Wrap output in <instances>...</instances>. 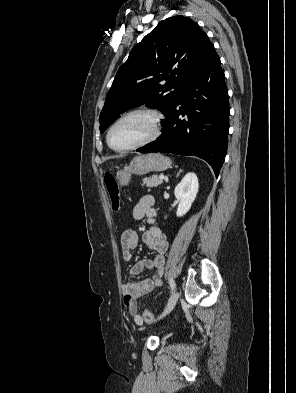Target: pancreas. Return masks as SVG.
I'll return each instance as SVG.
<instances>
[{"mask_svg": "<svg viewBox=\"0 0 296 393\" xmlns=\"http://www.w3.org/2000/svg\"><path fill=\"white\" fill-rule=\"evenodd\" d=\"M162 182L163 180L159 179L157 175L143 179V185H146L147 187H157L162 184Z\"/></svg>", "mask_w": 296, "mask_h": 393, "instance_id": "obj_1", "label": "pancreas"}]
</instances>
